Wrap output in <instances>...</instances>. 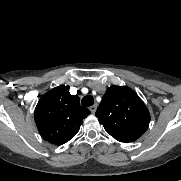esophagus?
I'll use <instances>...</instances> for the list:
<instances>
[{
	"label": "esophagus",
	"mask_w": 181,
	"mask_h": 181,
	"mask_svg": "<svg viewBox=\"0 0 181 181\" xmlns=\"http://www.w3.org/2000/svg\"><path fill=\"white\" fill-rule=\"evenodd\" d=\"M89 109H90L91 113L94 114L96 112L97 105H92Z\"/></svg>",
	"instance_id": "34e87169"
}]
</instances>
